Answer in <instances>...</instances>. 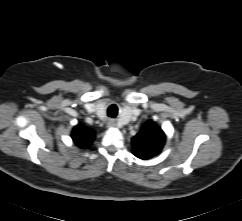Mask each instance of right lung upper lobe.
Here are the masks:
<instances>
[{
  "label": "right lung upper lobe",
  "instance_id": "cb5924a9",
  "mask_svg": "<svg viewBox=\"0 0 242 221\" xmlns=\"http://www.w3.org/2000/svg\"><path fill=\"white\" fill-rule=\"evenodd\" d=\"M72 139L78 147L86 149L94 141L95 133L92 129L78 125L72 131Z\"/></svg>",
  "mask_w": 242,
  "mask_h": 221
}]
</instances>
